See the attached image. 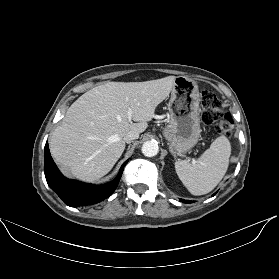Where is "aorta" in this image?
Returning a JSON list of instances; mask_svg holds the SVG:
<instances>
[{"instance_id":"762f6f07","label":"aorta","mask_w":279,"mask_h":279,"mask_svg":"<svg viewBox=\"0 0 279 279\" xmlns=\"http://www.w3.org/2000/svg\"><path fill=\"white\" fill-rule=\"evenodd\" d=\"M159 152L158 144L155 141H146L142 145V153L146 157H153L156 156Z\"/></svg>"}]
</instances>
